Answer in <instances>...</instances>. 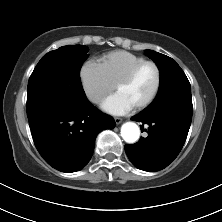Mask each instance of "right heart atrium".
Wrapping results in <instances>:
<instances>
[{
	"instance_id": "right-heart-atrium-1",
	"label": "right heart atrium",
	"mask_w": 222,
	"mask_h": 222,
	"mask_svg": "<svg viewBox=\"0 0 222 222\" xmlns=\"http://www.w3.org/2000/svg\"><path fill=\"white\" fill-rule=\"evenodd\" d=\"M82 88L87 99L98 104L114 88V84L108 79L99 63L89 60L80 70Z\"/></svg>"
}]
</instances>
